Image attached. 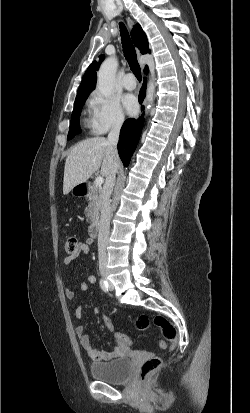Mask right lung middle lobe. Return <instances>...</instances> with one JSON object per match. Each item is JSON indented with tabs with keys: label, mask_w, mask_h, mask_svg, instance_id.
<instances>
[{
	"label": "right lung middle lobe",
	"mask_w": 250,
	"mask_h": 413,
	"mask_svg": "<svg viewBox=\"0 0 250 413\" xmlns=\"http://www.w3.org/2000/svg\"><path fill=\"white\" fill-rule=\"evenodd\" d=\"M87 97L88 94H85L82 96H78L75 99L74 110L72 112L70 129L67 137L68 140L72 139L76 134L81 132V129L79 127V117L81 113V108L84 105Z\"/></svg>",
	"instance_id": "1"
}]
</instances>
